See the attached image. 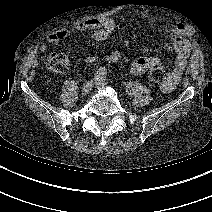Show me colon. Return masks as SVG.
<instances>
[{
	"instance_id": "colon-1",
	"label": "colon",
	"mask_w": 212,
	"mask_h": 212,
	"mask_svg": "<svg viewBox=\"0 0 212 212\" xmlns=\"http://www.w3.org/2000/svg\"><path fill=\"white\" fill-rule=\"evenodd\" d=\"M43 65L57 73H65L73 67L69 56L63 53H51L42 59ZM149 79L154 83L163 84L166 81V72L161 65L154 66L149 72Z\"/></svg>"
}]
</instances>
